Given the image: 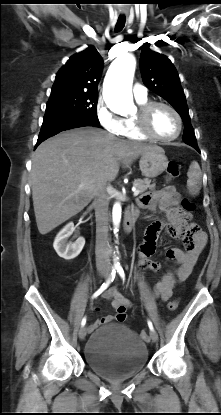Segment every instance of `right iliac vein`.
<instances>
[{"label": "right iliac vein", "mask_w": 221, "mask_h": 415, "mask_svg": "<svg viewBox=\"0 0 221 415\" xmlns=\"http://www.w3.org/2000/svg\"><path fill=\"white\" fill-rule=\"evenodd\" d=\"M100 275L102 277H106L107 276V273L101 271L100 272ZM86 334H87V327L86 326H82L81 329L79 330V338L81 340H83L86 337Z\"/></svg>", "instance_id": "right-iliac-vein-1"}]
</instances>
